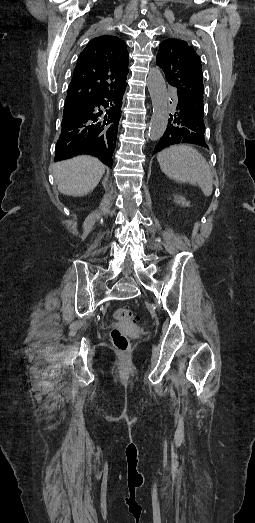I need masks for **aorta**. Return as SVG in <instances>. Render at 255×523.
<instances>
[{"label":"aorta","instance_id":"obj_1","mask_svg":"<svg viewBox=\"0 0 255 523\" xmlns=\"http://www.w3.org/2000/svg\"><path fill=\"white\" fill-rule=\"evenodd\" d=\"M147 87L153 108L148 136L150 140L156 141L164 134L169 119L167 88L159 67L150 69L147 77Z\"/></svg>","mask_w":255,"mask_h":523}]
</instances>
